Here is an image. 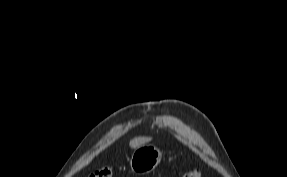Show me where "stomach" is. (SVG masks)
<instances>
[{"instance_id": "stomach-1", "label": "stomach", "mask_w": 287, "mask_h": 177, "mask_svg": "<svg viewBox=\"0 0 287 177\" xmlns=\"http://www.w3.org/2000/svg\"><path fill=\"white\" fill-rule=\"evenodd\" d=\"M162 152L154 145L144 144L137 147L130 159L132 172L148 174L161 162Z\"/></svg>"}]
</instances>
